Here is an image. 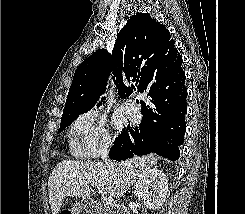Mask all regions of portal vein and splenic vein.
<instances>
[{
  "label": "portal vein and splenic vein",
  "mask_w": 245,
  "mask_h": 214,
  "mask_svg": "<svg viewBox=\"0 0 245 214\" xmlns=\"http://www.w3.org/2000/svg\"><path fill=\"white\" fill-rule=\"evenodd\" d=\"M105 205H112L113 204V202H114V199H113V197H106L105 198Z\"/></svg>",
  "instance_id": "portal-vein-and-splenic-vein-1"
}]
</instances>
